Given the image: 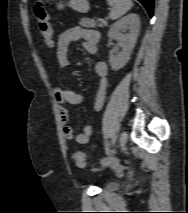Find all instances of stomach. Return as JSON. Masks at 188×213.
Returning a JSON list of instances; mask_svg holds the SVG:
<instances>
[{"label":"stomach","mask_w":188,"mask_h":213,"mask_svg":"<svg viewBox=\"0 0 188 213\" xmlns=\"http://www.w3.org/2000/svg\"><path fill=\"white\" fill-rule=\"evenodd\" d=\"M58 2L59 3L57 4V8L63 9L65 5L62 3L61 0H58ZM67 6L81 13L88 12L90 8L88 0H69Z\"/></svg>","instance_id":"1"}]
</instances>
